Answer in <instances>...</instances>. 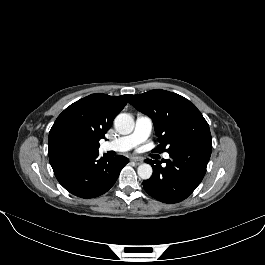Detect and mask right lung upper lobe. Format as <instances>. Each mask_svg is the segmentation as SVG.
<instances>
[{
  "label": "right lung upper lobe",
  "instance_id": "right-lung-upper-lobe-1",
  "mask_svg": "<svg viewBox=\"0 0 265 265\" xmlns=\"http://www.w3.org/2000/svg\"><path fill=\"white\" fill-rule=\"evenodd\" d=\"M130 94H91L67 107L54 122L48 138L49 157L72 151H95Z\"/></svg>",
  "mask_w": 265,
  "mask_h": 265
}]
</instances>
